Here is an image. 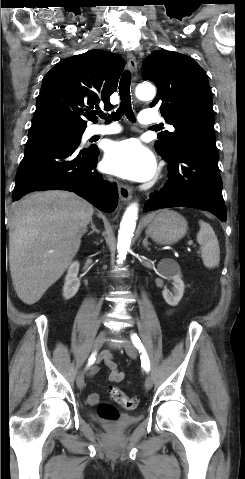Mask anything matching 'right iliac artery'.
I'll return each mask as SVG.
<instances>
[{
    "instance_id": "right-iliac-artery-1",
    "label": "right iliac artery",
    "mask_w": 245,
    "mask_h": 479,
    "mask_svg": "<svg viewBox=\"0 0 245 479\" xmlns=\"http://www.w3.org/2000/svg\"><path fill=\"white\" fill-rule=\"evenodd\" d=\"M95 359H96L95 358V353H93L88 360V365L90 366L91 364H93Z\"/></svg>"
}]
</instances>
